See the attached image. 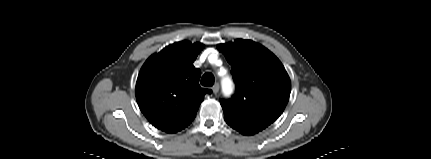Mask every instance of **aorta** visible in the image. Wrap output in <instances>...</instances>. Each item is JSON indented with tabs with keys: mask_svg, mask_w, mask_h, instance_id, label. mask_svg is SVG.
<instances>
[{
	"mask_svg": "<svg viewBox=\"0 0 431 159\" xmlns=\"http://www.w3.org/2000/svg\"><path fill=\"white\" fill-rule=\"evenodd\" d=\"M223 88H224V91L226 93H229L230 90H231V83H230V81H228V80L224 81Z\"/></svg>",
	"mask_w": 431,
	"mask_h": 159,
	"instance_id": "obj_1",
	"label": "aorta"
}]
</instances>
